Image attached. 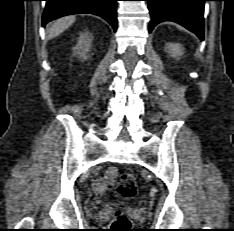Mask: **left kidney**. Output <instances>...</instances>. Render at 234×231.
Masks as SVG:
<instances>
[{"mask_svg": "<svg viewBox=\"0 0 234 231\" xmlns=\"http://www.w3.org/2000/svg\"><path fill=\"white\" fill-rule=\"evenodd\" d=\"M165 50L173 58H180L183 55V46L178 43H167Z\"/></svg>", "mask_w": 234, "mask_h": 231, "instance_id": "1", "label": "left kidney"}]
</instances>
